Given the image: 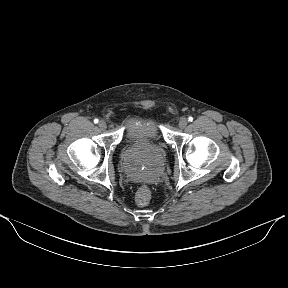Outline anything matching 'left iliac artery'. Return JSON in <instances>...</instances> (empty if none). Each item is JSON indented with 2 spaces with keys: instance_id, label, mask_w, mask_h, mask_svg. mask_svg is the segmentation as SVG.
I'll list each match as a JSON object with an SVG mask.
<instances>
[{
  "instance_id": "44dca946",
  "label": "left iliac artery",
  "mask_w": 288,
  "mask_h": 288,
  "mask_svg": "<svg viewBox=\"0 0 288 288\" xmlns=\"http://www.w3.org/2000/svg\"><path fill=\"white\" fill-rule=\"evenodd\" d=\"M188 121H189V122H192V121H193V117L190 116V117L188 118Z\"/></svg>"
}]
</instances>
